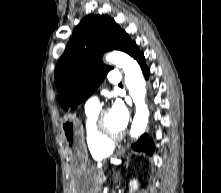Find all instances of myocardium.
<instances>
[{
  "mask_svg": "<svg viewBox=\"0 0 221 193\" xmlns=\"http://www.w3.org/2000/svg\"><path fill=\"white\" fill-rule=\"evenodd\" d=\"M107 113H108V110L104 109L97 115L95 129H96L98 136L103 142L112 145L113 143L121 140L123 136L125 135V133L121 132L119 134H112L107 131L104 125V117Z\"/></svg>",
  "mask_w": 221,
  "mask_h": 193,
  "instance_id": "myocardium-1",
  "label": "myocardium"
}]
</instances>
